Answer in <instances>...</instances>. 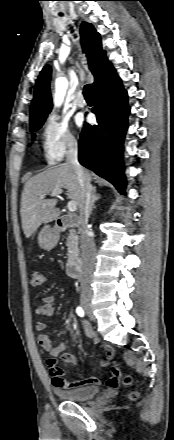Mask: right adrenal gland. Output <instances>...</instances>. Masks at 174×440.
<instances>
[{
  "label": "right adrenal gland",
  "mask_w": 174,
  "mask_h": 440,
  "mask_svg": "<svg viewBox=\"0 0 174 440\" xmlns=\"http://www.w3.org/2000/svg\"><path fill=\"white\" fill-rule=\"evenodd\" d=\"M101 196L96 193V187H93V194H92V202H91V212L95 208V202L99 200Z\"/></svg>",
  "instance_id": "right-adrenal-gland-1"
}]
</instances>
